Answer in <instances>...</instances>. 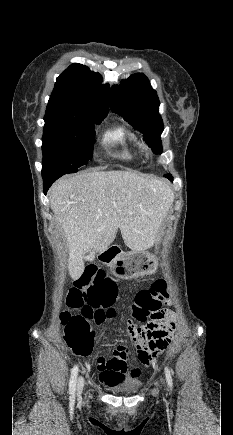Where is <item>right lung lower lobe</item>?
<instances>
[{"instance_id":"obj_1","label":"right lung lower lobe","mask_w":233,"mask_h":435,"mask_svg":"<svg viewBox=\"0 0 233 435\" xmlns=\"http://www.w3.org/2000/svg\"><path fill=\"white\" fill-rule=\"evenodd\" d=\"M59 177H61V175H53V176H48V177H43V189H44V194L47 193L48 189L50 188V186L52 185V183L54 181H56Z\"/></svg>"}]
</instances>
